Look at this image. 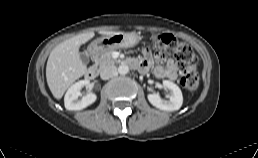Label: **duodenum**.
<instances>
[{
  "label": "duodenum",
  "mask_w": 258,
  "mask_h": 158,
  "mask_svg": "<svg viewBox=\"0 0 258 158\" xmlns=\"http://www.w3.org/2000/svg\"><path fill=\"white\" fill-rule=\"evenodd\" d=\"M100 46L99 45H93L91 48V54L93 59L97 58L100 53ZM126 65L134 68V69H140V64L136 60L129 59L126 61ZM99 74V68L96 65H91L87 68L85 72V76L89 80L95 79Z\"/></svg>",
  "instance_id": "410a0bca"
}]
</instances>
